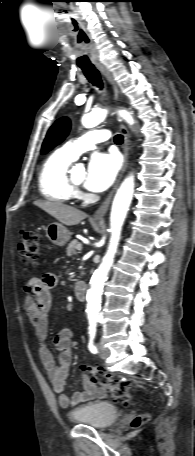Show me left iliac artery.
<instances>
[{"mask_svg":"<svg viewBox=\"0 0 195 456\" xmlns=\"http://www.w3.org/2000/svg\"><path fill=\"white\" fill-rule=\"evenodd\" d=\"M96 335V323L94 321L89 322V344L88 348L91 353L96 354L98 352L97 347L94 344V338Z\"/></svg>","mask_w":195,"mask_h":456,"instance_id":"left-iliac-artery-1","label":"left iliac artery"}]
</instances>
